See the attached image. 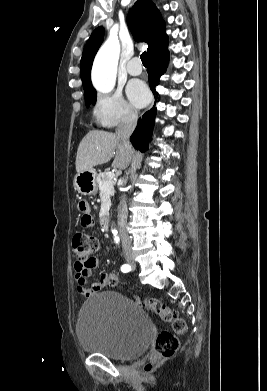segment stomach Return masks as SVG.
<instances>
[{
    "label": "stomach",
    "instance_id": "obj_1",
    "mask_svg": "<svg viewBox=\"0 0 267 391\" xmlns=\"http://www.w3.org/2000/svg\"><path fill=\"white\" fill-rule=\"evenodd\" d=\"M97 173L94 169L78 173L74 178V189L82 195H94L97 192Z\"/></svg>",
    "mask_w": 267,
    "mask_h": 391
}]
</instances>
